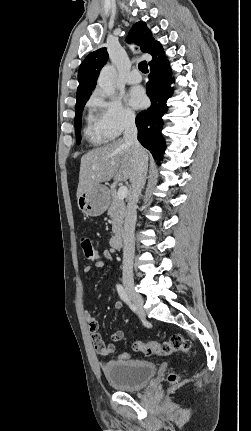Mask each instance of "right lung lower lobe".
<instances>
[{
  "mask_svg": "<svg viewBox=\"0 0 251 431\" xmlns=\"http://www.w3.org/2000/svg\"><path fill=\"white\" fill-rule=\"evenodd\" d=\"M150 68L147 95L151 100V106L138 113L136 126L140 143L152 153L155 160H161L165 150V142L161 135L162 116L168 109L166 101L173 93L170 88L173 78L167 57L151 64Z\"/></svg>",
  "mask_w": 251,
  "mask_h": 431,
  "instance_id": "1",
  "label": "right lung lower lobe"
}]
</instances>
